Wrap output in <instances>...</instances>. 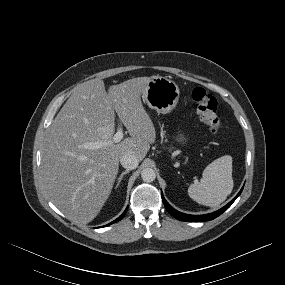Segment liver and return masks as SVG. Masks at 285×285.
<instances>
[{"mask_svg":"<svg viewBox=\"0 0 285 285\" xmlns=\"http://www.w3.org/2000/svg\"><path fill=\"white\" fill-rule=\"evenodd\" d=\"M150 77H138L109 88L101 79L73 89L45 136L41 179L51 202L71 221L91 222L107 201L119 171L120 158L138 161L156 139L151 118L141 102ZM115 112L129 138L113 141ZM104 142L98 149L88 143Z\"/></svg>","mask_w":285,"mask_h":285,"instance_id":"obj_1","label":"liver"}]
</instances>
